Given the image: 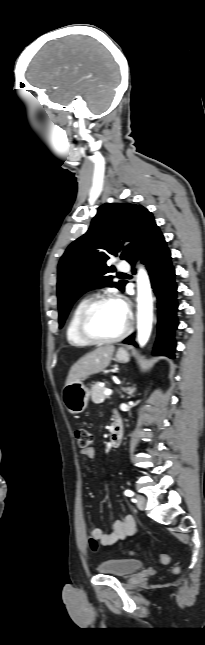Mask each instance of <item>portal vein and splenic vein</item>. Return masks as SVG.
Returning a JSON list of instances; mask_svg holds the SVG:
<instances>
[{"label": "portal vein and splenic vein", "instance_id": "obj_1", "mask_svg": "<svg viewBox=\"0 0 205 645\" xmlns=\"http://www.w3.org/2000/svg\"><path fill=\"white\" fill-rule=\"evenodd\" d=\"M111 394H112V390H111V389H106V390L104 391V395H106V396H109V395H111Z\"/></svg>", "mask_w": 205, "mask_h": 645}]
</instances>
